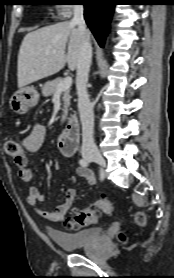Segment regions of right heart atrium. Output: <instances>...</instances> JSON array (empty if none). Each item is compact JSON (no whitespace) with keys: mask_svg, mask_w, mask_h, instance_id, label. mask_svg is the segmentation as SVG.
Masks as SVG:
<instances>
[{"mask_svg":"<svg viewBox=\"0 0 174 278\" xmlns=\"http://www.w3.org/2000/svg\"><path fill=\"white\" fill-rule=\"evenodd\" d=\"M75 5L72 4H60L56 6L55 12L58 18H67L72 13Z\"/></svg>","mask_w":174,"mask_h":278,"instance_id":"obj_1","label":"right heart atrium"}]
</instances>
